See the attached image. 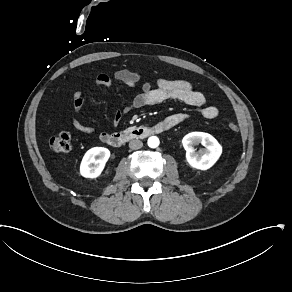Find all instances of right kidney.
Returning <instances> with one entry per match:
<instances>
[{
    "label": "right kidney",
    "instance_id": "1",
    "mask_svg": "<svg viewBox=\"0 0 292 292\" xmlns=\"http://www.w3.org/2000/svg\"><path fill=\"white\" fill-rule=\"evenodd\" d=\"M110 157V151L104 147H94L86 152L81 165L80 173L87 178L98 177Z\"/></svg>",
    "mask_w": 292,
    "mask_h": 292
}]
</instances>
